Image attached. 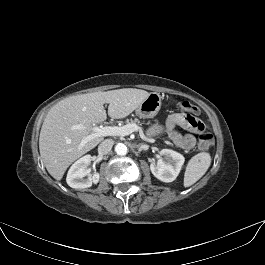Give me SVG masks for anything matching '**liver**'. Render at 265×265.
<instances>
[{"label": "liver", "mask_w": 265, "mask_h": 265, "mask_svg": "<svg viewBox=\"0 0 265 265\" xmlns=\"http://www.w3.org/2000/svg\"><path fill=\"white\" fill-rule=\"evenodd\" d=\"M145 90L124 88L68 97L55 104L47 113L39 137V150L49 174L61 180L67 168L79 157L95 148L103 137L81 145L92 134L91 124L106 120L108 115L121 119L130 115L149 96ZM81 124L86 129H73Z\"/></svg>", "instance_id": "6515ba94"}]
</instances>
